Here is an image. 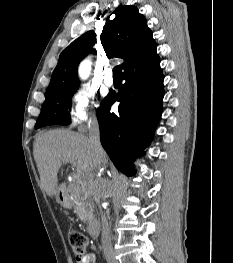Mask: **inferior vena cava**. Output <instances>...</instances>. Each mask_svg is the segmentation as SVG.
I'll list each match as a JSON object with an SVG mask.
<instances>
[{
	"label": "inferior vena cava",
	"instance_id": "1",
	"mask_svg": "<svg viewBox=\"0 0 233 263\" xmlns=\"http://www.w3.org/2000/svg\"><path fill=\"white\" fill-rule=\"evenodd\" d=\"M89 140L95 154V161L99 164L100 153L102 152L103 149L100 143L99 124L97 118L95 117L92 118L89 123ZM81 184L90 185L95 193V199L99 205V210L101 214V226H102L101 241L104 250V255L108 263H117L111 243V234H110L108 220L105 216V213L102 211L95 184L91 180L81 181Z\"/></svg>",
	"mask_w": 233,
	"mask_h": 263
}]
</instances>
